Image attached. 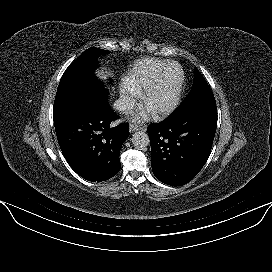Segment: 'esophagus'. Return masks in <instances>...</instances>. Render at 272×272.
<instances>
[{
	"label": "esophagus",
	"instance_id": "esophagus-1",
	"mask_svg": "<svg viewBox=\"0 0 272 272\" xmlns=\"http://www.w3.org/2000/svg\"><path fill=\"white\" fill-rule=\"evenodd\" d=\"M141 129H144V127L140 126V125H136V124H130L129 126V130L130 132H135V131H138V130H141Z\"/></svg>",
	"mask_w": 272,
	"mask_h": 272
}]
</instances>
